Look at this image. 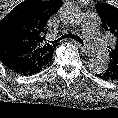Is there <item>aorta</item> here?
<instances>
[{
	"mask_svg": "<svg viewBox=\"0 0 118 118\" xmlns=\"http://www.w3.org/2000/svg\"><path fill=\"white\" fill-rule=\"evenodd\" d=\"M60 18L65 24L76 26L82 20V11L78 5L69 3L61 9ZM107 67V62L101 57H93L88 62L89 71L93 74H103Z\"/></svg>",
	"mask_w": 118,
	"mask_h": 118,
	"instance_id": "762f6f07",
	"label": "aorta"
}]
</instances>
